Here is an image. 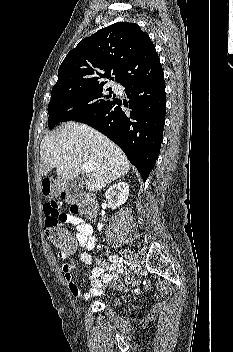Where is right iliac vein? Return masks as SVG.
Segmentation results:
<instances>
[{
  "label": "right iliac vein",
  "mask_w": 233,
  "mask_h": 352,
  "mask_svg": "<svg viewBox=\"0 0 233 352\" xmlns=\"http://www.w3.org/2000/svg\"><path fill=\"white\" fill-rule=\"evenodd\" d=\"M125 258H127L131 264L136 268L139 264L137 255L129 249H123L120 252Z\"/></svg>",
  "instance_id": "63e3f726"
}]
</instances>
